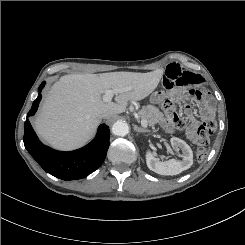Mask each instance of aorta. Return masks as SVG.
I'll use <instances>...</instances> for the list:
<instances>
[{"label": "aorta", "mask_w": 245, "mask_h": 245, "mask_svg": "<svg viewBox=\"0 0 245 245\" xmlns=\"http://www.w3.org/2000/svg\"><path fill=\"white\" fill-rule=\"evenodd\" d=\"M129 132V126L123 121H117L112 126V133L116 136H125Z\"/></svg>", "instance_id": "762f6f07"}]
</instances>
